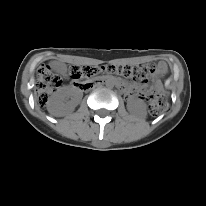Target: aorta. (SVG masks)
Wrapping results in <instances>:
<instances>
[{"label":"aorta","mask_w":206,"mask_h":206,"mask_svg":"<svg viewBox=\"0 0 206 206\" xmlns=\"http://www.w3.org/2000/svg\"><path fill=\"white\" fill-rule=\"evenodd\" d=\"M105 84L108 88H113L114 87V82L111 78H107V80L105 81Z\"/></svg>","instance_id":"1"}]
</instances>
